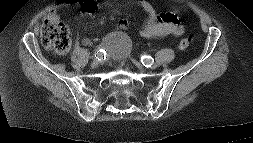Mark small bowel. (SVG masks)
I'll return each mask as SVG.
<instances>
[{
	"label": "small bowel",
	"instance_id": "1",
	"mask_svg": "<svg viewBox=\"0 0 253 143\" xmlns=\"http://www.w3.org/2000/svg\"><path fill=\"white\" fill-rule=\"evenodd\" d=\"M147 15V20L141 30L144 38L164 37L168 35L180 36L183 34V27L175 13L165 11L158 13L154 6L146 0H135ZM66 5H78L82 14H91L98 7V0H58L57 5L47 14V20L58 21V8ZM129 26L127 19L118 22V29H126ZM97 40V39H95ZM93 42L90 38H83L81 44L89 46Z\"/></svg>",
	"mask_w": 253,
	"mask_h": 143
}]
</instances>
